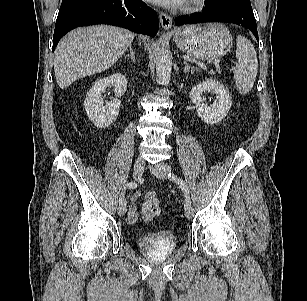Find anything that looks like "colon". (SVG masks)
Returning <instances> with one entry per match:
<instances>
[{
    "mask_svg": "<svg viewBox=\"0 0 307 301\" xmlns=\"http://www.w3.org/2000/svg\"><path fill=\"white\" fill-rule=\"evenodd\" d=\"M160 212V203L155 193L149 192L146 194L142 203V213L146 221L153 220Z\"/></svg>",
    "mask_w": 307,
    "mask_h": 301,
    "instance_id": "colon-1",
    "label": "colon"
}]
</instances>
